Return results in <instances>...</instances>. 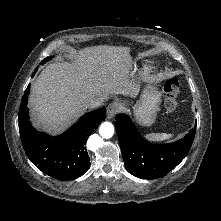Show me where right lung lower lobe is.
<instances>
[{
	"mask_svg": "<svg viewBox=\"0 0 221 221\" xmlns=\"http://www.w3.org/2000/svg\"><path fill=\"white\" fill-rule=\"evenodd\" d=\"M29 91L30 85L25 90L19 109V132L29 160L42 172L58 180L82 176L90 162L85 144L94 129L105 119V108L83 115L65 133L51 137L38 132L29 121Z\"/></svg>",
	"mask_w": 221,
	"mask_h": 221,
	"instance_id": "1",
	"label": "right lung lower lobe"
}]
</instances>
